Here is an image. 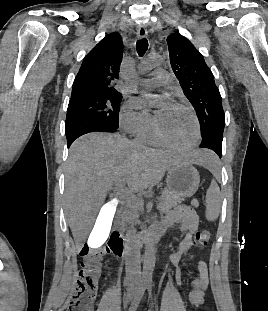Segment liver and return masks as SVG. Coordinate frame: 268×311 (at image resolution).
I'll return each instance as SVG.
<instances>
[{
	"mask_svg": "<svg viewBox=\"0 0 268 311\" xmlns=\"http://www.w3.org/2000/svg\"><path fill=\"white\" fill-rule=\"evenodd\" d=\"M211 155L197 150L183 158L119 134L95 132L78 138L70 147L65 174L67 222L76 248H82L114 185L125 181L131 191L140 192L158 184L170 166L182 161L205 166Z\"/></svg>",
	"mask_w": 268,
	"mask_h": 311,
	"instance_id": "obj_1",
	"label": "liver"
}]
</instances>
